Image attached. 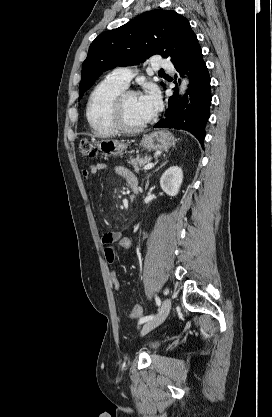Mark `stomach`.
Instances as JSON below:
<instances>
[{"label":"stomach","instance_id":"obj_1","mask_svg":"<svg viewBox=\"0 0 272 417\" xmlns=\"http://www.w3.org/2000/svg\"><path fill=\"white\" fill-rule=\"evenodd\" d=\"M174 136L165 130H159L147 135H144L141 141V145L149 151L156 150H168L170 147L175 145ZM99 149L105 154V156L117 157L123 154V151L127 146L116 140H101L98 143Z\"/></svg>","mask_w":272,"mask_h":417}]
</instances>
